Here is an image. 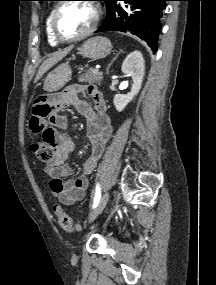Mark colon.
I'll return each instance as SVG.
<instances>
[{"label": "colon", "mask_w": 216, "mask_h": 285, "mask_svg": "<svg viewBox=\"0 0 216 285\" xmlns=\"http://www.w3.org/2000/svg\"><path fill=\"white\" fill-rule=\"evenodd\" d=\"M30 150L42 162H49L54 157V148L50 147V144H43V141H33L30 144ZM53 210L59 225L64 231L70 233L80 229V225L74 224L71 217L63 211L60 205L55 204Z\"/></svg>", "instance_id": "obj_1"}]
</instances>
